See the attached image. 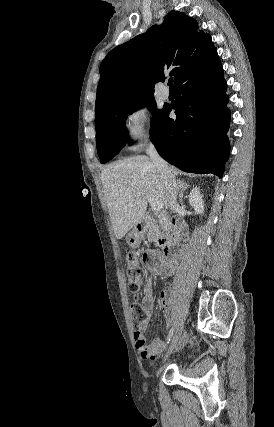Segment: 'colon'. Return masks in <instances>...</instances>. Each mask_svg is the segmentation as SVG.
<instances>
[{
    "label": "colon",
    "mask_w": 274,
    "mask_h": 427,
    "mask_svg": "<svg viewBox=\"0 0 274 427\" xmlns=\"http://www.w3.org/2000/svg\"><path fill=\"white\" fill-rule=\"evenodd\" d=\"M127 262L128 288L131 294H135L140 290V287L143 283L142 264L144 262V256L143 254L131 251L129 252ZM130 312L132 314V318L135 320L141 319L144 316V310L137 302H132L130 304Z\"/></svg>",
    "instance_id": "colon-1"
}]
</instances>
